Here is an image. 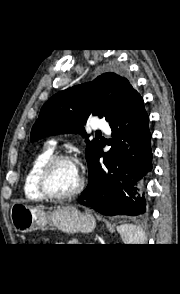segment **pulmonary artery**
Returning <instances> with one entry per match:
<instances>
[{"label": "pulmonary artery", "instance_id": "obj_1", "mask_svg": "<svg viewBox=\"0 0 180 294\" xmlns=\"http://www.w3.org/2000/svg\"><path fill=\"white\" fill-rule=\"evenodd\" d=\"M94 127H95V129L102 130V131H104L107 134H110L111 133V128H110L109 124L106 121H104V120L98 119L96 121ZM55 145H56V143L54 141L50 142V147L52 149L55 148Z\"/></svg>", "mask_w": 180, "mask_h": 294}]
</instances>
